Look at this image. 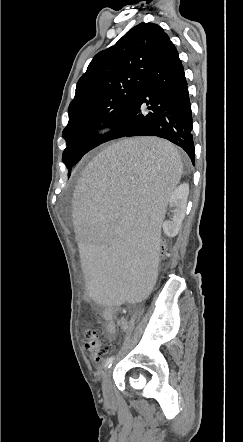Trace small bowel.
Here are the masks:
<instances>
[{"label": "small bowel", "mask_w": 243, "mask_h": 442, "mask_svg": "<svg viewBox=\"0 0 243 442\" xmlns=\"http://www.w3.org/2000/svg\"><path fill=\"white\" fill-rule=\"evenodd\" d=\"M117 309L118 307H107L103 311V321L101 322V326L106 338L110 341H113L116 337L115 314Z\"/></svg>", "instance_id": "small-bowel-1"}]
</instances>
